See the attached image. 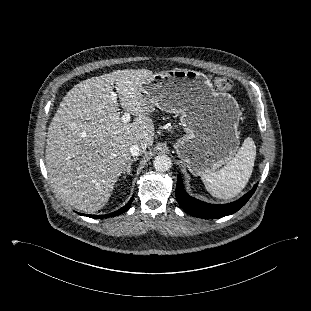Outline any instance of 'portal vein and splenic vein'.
Listing matches in <instances>:
<instances>
[{
    "label": "portal vein and splenic vein",
    "mask_w": 311,
    "mask_h": 311,
    "mask_svg": "<svg viewBox=\"0 0 311 311\" xmlns=\"http://www.w3.org/2000/svg\"><path fill=\"white\" fill-rule=\"evenodd\" d=\"M116 98H117V95L115 93H112V99L116 100ZM130 118H131L130 114L128 112H125L121 119H122V122L128 123L130 121Z\"/></svg>",
    "instance_id": "portal-vein-and-splenic-vein-1"
}]
</instances>
